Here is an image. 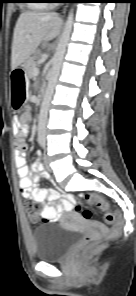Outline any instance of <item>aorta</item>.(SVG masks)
Masks as SVG:
<instances>
[{
	"label": "aorta",
	"mask_w": 136,
	"mask_h": 296,
	"mask_svg": "<svg viewBox=\"0 0 136 296\" xmlns=\"http://www.w3.org/2000/svg\"><path fill=\"white\" fill-rule=\"evenodd\" d=\"M73 21H74V12H73V9H71L68 13L67 21L65 23L62 35L60 37L58 46L56 48L55 55L52 60V68H51L49 79H48V86L43 98L40 114L38 117V138L40 140H45V137H46L48 110H49L52 95L54 93V89L60 74L66 48L70 39Z\"/></svg>",
	"instance_id": "obj_1"
}]
</instances>
